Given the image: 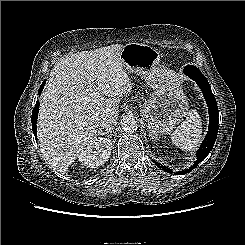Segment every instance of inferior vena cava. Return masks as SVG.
<instances>
[{"label":"inferior vena cava","instance_id":"602c4592","mask_svg":"<svg viewBox=\"0 0 245 245\" xmlns=\"http://www.w3.org/2000/svg\"><path fill=\"white\" fill-rule=\"evenodd\" d=\"M117 125V118L113 116L104 117L101 127L105 130L111 131Z\"/></svg>","mask_w":245,"mask_h":245}]
</instances>
